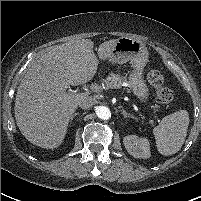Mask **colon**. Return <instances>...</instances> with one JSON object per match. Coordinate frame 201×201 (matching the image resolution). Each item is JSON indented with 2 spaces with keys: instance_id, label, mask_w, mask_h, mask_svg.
<instances>
[{
  "instance_id": "1",
  "label": "colon",
  "mask_w": 201,
  "mask_h": 201,
  "mask_svg": "<svg viewBox=\"0 0 201 201\" xmlns=\"http://www.w3.org/2000/svg\"><path fill=\"white\" fill-rule=\"evenodd\" d=\"M148 81L154 87L159 103L168 104L174 98L173 91L166 86L163 74L158 70H151L147 74Z\"/></svg>"
}]
</instances>
